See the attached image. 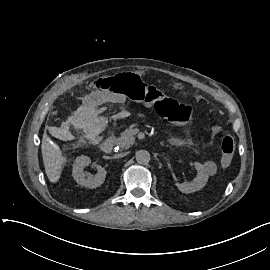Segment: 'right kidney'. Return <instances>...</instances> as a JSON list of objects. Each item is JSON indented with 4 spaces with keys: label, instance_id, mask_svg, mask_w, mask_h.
<instances>
[{
    "label": "right kidney",
    "instance_id": "ca27d5eb",
    "mask_svg": "<svg viewBox=\"0 0 270 270\" xmlns=\"http://www.w3.org/2000/svg\"><path fill=\"white\" fill-rule=\"evenodd\" d=\"M93 165L96 168L97 174L87 175L83 172L85 167ZM106 170L95 162H92L87 156L77 157L73 165V177L78 184L89 189L99 187L105 180Z\"/></svg>",
    "mask_w": 270,
    "mask_h": 270
}]
</instances>
